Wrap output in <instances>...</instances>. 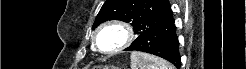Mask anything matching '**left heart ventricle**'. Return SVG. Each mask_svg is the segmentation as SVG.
<instances>
[{"label":"left heart ventricle","mask_w":246,"mask_h":69,"mask_svg":"<svg viewBox=\"0 0 246 69\" xmlns=\"http://www.w3.org/2000/svg\"><path fill=\"white\" fill-rule=\"evenodd\" d=\"M123 39V33L115 28H108L102 31L98 36L100 48H106V45L116 44Z\"/></svg>","instance_id":"obj_1"}]
</instances>
